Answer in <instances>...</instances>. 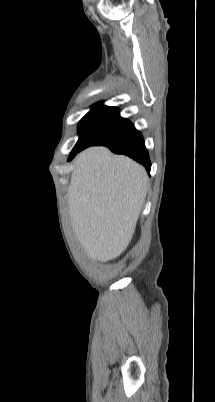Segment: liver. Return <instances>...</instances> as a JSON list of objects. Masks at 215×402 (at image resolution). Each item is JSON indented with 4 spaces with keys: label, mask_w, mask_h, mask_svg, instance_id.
<instances>
[{
    "label": "liver",
    "mask_w": 215,
    "mask_h": 402,
    "mask_svg": "<svg viewBox=\"0 0 215 402\" xmlns=\"http://www.w3.org/2000/svg\"><path fill=\"white\" fill-rule=\"evenodd\" d=\"M67 191L74 234L93 260L125 251L143 208L148 175L143 166L106 147H90L75 159Z\"/></svg>",
    "instance_id": "liver-1"
}]
</instances>
